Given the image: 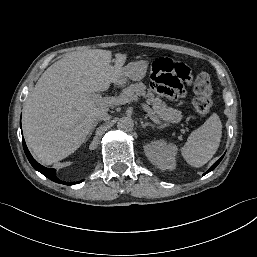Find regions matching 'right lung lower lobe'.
<instances>
[{
    "instance_id": "obj_1",
    "label": "right lung lower lobe",
    "mask_w": 257,
    "mask_h": 257,
    "mask_svg": "<svg viewBox=\"0 0 257 257\" xmlns=\"http://www.w3.org/2000/svg\"><path fill=\"white\" fill-rule=\"evenodd\" d=\"M22 143H23V148H24L25 154H26L29 162L31 163V165L34 167V169H36L37 171L42 173L45 177L49 178L50 180H52L54 182H57L60 184H65V185H73V184H77V183H80L83 181V180H81L78 182H64V181L59 180L56 176L55 169L46 168V167L40 165L39 163H37L34 160V158L31 156L29 150L27 149L24 139H22Z\"/></svg>"
}]
</instances>
